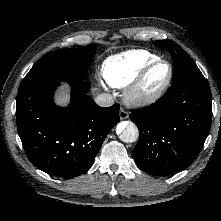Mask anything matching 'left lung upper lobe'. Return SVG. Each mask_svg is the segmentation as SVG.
Returning <instances> with one entry per match:
<instances>
[{"label":"left lung upper lobe","mask_w":221,"mask_h":221,"mask_svg":"<svg viewBox=\"0 0 221 221\" xmlns=\"http://www.w3.org/2000/svg\"><path fill=\"white\" fill-rule=\"evenodd\" d=\"M154 45L167 50L173 58L172 85L187 80H204V76L191 57L176 42L158 40L154 41Z\"/></svg>","instance_id":"1"}]
</instances>
